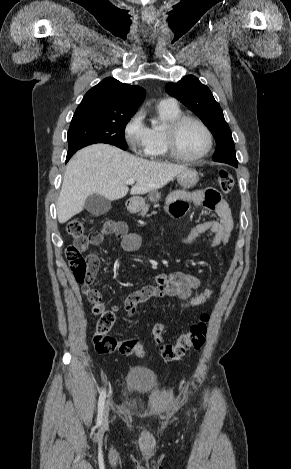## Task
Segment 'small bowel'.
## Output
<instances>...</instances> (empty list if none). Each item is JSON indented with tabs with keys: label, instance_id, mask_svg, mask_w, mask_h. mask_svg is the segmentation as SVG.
<instances>
[{
	"label": "small bowel",
	"instance_id": "c3829d8e",
	"mask_svg": "<svg viewBox=\"0 0 291 469\" xmlns=\"http://www.w3.org/2000/svg\"><path fill=\"white\" fill-rule=\"evenodd\" d=\"M190 202L214 212L217 215V219L197 224L191 228L181 241L185 244H190L202 233L209 232L211 235L210 245L212 247L227 243L231 237L234 223L231 210L219 193L212 188L194 192L176 191L168 198L167 212L174 218H180L185 214ZM101 232L102 237L103 235L114 234L120 240L121 246L125 251H135L141 246L140 235L129 232L124 222L108 221L103 224ZM100 241L91 244L97 245ZM89 259L96 268L99 266L97 255L91 254ZM156 282V285L145 286L125 299L124 308L127 312V319H132L136 315L138 304L150 298L170 297L175 299L182 309H189L202 306L213 293L212 290H205L196 296H192V292L199 288L200 281L195 275L190 273L174 272L171 274H159ZM96 292L100 297V301L92 303L95 314L94 309L96 307H106L102 301L101 294L98 291Z\"/></svg>",
	"mask_w": 291,
	"mask_h": 469
}]
</instances>
